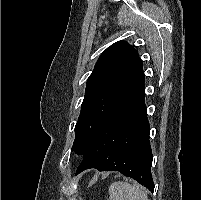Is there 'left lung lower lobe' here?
Instances as JSON below:
<instances>
[{"instance_id": "1", "label": "left lung lower lobe", "mask_w": 201, "mask_h": 200, "mask_svg": "<svg viewBox=\"0 0 201 200\" xmlns=\"http://www.w3.org/2000/svg\"><path fill=\"white\" fill-rule=\"evenodd\" d=\"M144 80L106 117L82 156L76 175L89 168L119 171L151 192L152 151Z\"/></svg>"}]
</instances>
